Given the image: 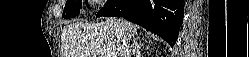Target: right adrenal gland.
Listing matches in <instances>:
<instances>
[{"label": "right adrenal gland", "instance_id": "obj_1", "mask_svg": "<svg viewBox=\"0 0 249 57\" xmlns=\"http://www.w3.org/2000/svg\"><path fill=\"white\" fill-rule=\"evenodd\" d=\"M134 47H135V51H136V55L137 57L141 56V52L140 49L141 47H144V43L141 44V40L139 41V44L137 43L136 39H134Z\"/></svg>", "mask_w": 249, "mask_h": 57}]
</instances>
